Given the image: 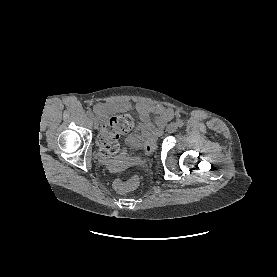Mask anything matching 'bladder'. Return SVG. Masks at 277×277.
I'll use <instances>...</instances> for the list:
<instances>
[{
	"label": "bladder",
	"instance_id": "obj_1",
	"mask_svg": "<svg viewBox=\"0 0 277 277\" xmlns=\"http://www.w3.org/2000/svg\"><path fill=\"white\" fill-rule=\"evenodd\" d=\"M158 136L151 122L143 121L139 127L128 134L126 142L130 148L141 149L149 140H154Z\"/></svg>",
	"mask_w": 277,
	"mask_h": 277
}]
</instances>
